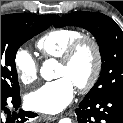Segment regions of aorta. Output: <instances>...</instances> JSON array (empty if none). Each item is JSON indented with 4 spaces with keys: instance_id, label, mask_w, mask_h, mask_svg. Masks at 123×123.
<instances>
[{
    "instance_id": "aorta-1",
    "label": "aorta",
    "mask_w": 123,
    "mask_h": 123,
    "mask_svg": "<svg viewBox=\"0 0 123 123\" xmlns=\"http://www.w3.org/2000/svg\"><path fill=\"white\" fill-rule=\"evenodd\" d=\"M57 61L55 59L45 60L40 68V74L45 80H52L55 77L54 69ZM58 123H72L70 118H63Z\"/></svg>"
}]
</instances>
